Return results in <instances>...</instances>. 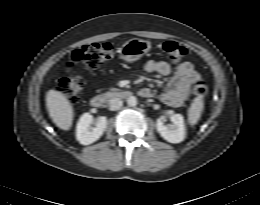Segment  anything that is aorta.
<instances>
[{"mask_svg":"<svg viewBox=\"0 0 260 205\" xmlns=\"http://www.w3.org/2000/svg\"><path fill=\"white\" fill-rule=\"evenodd\" d=\"M127 104L129 105V106H136L137 105V98L135 97V96H130V97H128V99H127Z\"/></svg>","mask_w":260,"mask_h":205,"instance_id":"762f6f07","label":"aorta"}]
</instances>
